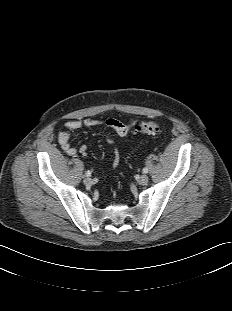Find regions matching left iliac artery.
Masks as SVG:
<instances>
[{
    "instance_id": "1",
    "label": "left iliac artery",
    "mask_w": 232,
    "mask_h": 311,
    "mask_svg": "<svg viewBox=\"0 0 232 311\" xmlns=\"http://www.w3.org/2000/svg\"><path fill=\"white\" fill-rule=\"evenodd\" d=\"M142 171H143V173H148V168L145 167V168H143Z\"/></svg>"
}]
</instances>
